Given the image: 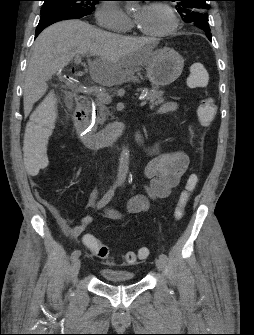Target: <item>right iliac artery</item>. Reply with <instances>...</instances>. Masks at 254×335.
I'll return each instance as SVG.
<instances>
[{
	"label": "right iliac artery",
	"mask_w": 254,
	"mask_h": 335,
	"mask_svg": "<svg viewBox=\"0 0 254 335\" xmlns=\"http://www.w3.org/2000/svg\"><path fill=\"white\" fill-rule=\"evenodd\" d=\"M115 189H116V186L111 187V189L103 196V198L98 203V208L105 206L111 200L112 196L114 195ZM80 255H81L80 250H74L71 254V259L75 260Z\"/></svg>",
	"instance_id": "obj_1"
}]
</instances>
